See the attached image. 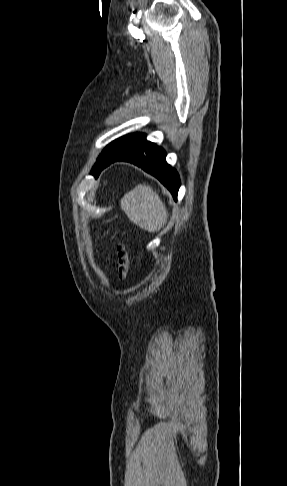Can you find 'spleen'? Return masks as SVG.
<instances>
[{"mask_svg": "<svg viewBox=\"0 0 287 486\" xmlns=\"http://www.w3.org/2000/svg\"><path fill=\"white\" fill-rule=\"evenodd\" d=\"M127 217L148 232H157L167 223L168 212L159 195L146 184H138L121 200Z\"/></svg>", "mask_w": 287, "mask_h": 486, "instance_id": "3e777b00", "label": "spleen"}]
</instances>
